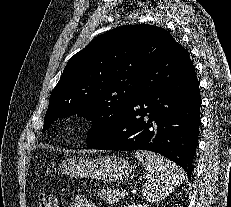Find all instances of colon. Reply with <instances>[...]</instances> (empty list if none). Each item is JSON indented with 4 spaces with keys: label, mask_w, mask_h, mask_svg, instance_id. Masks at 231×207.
Returning <instances> with one entry per match:
<instances>
[{
    "label": "colon",
    "mask_w": 231,
    "mask_h": 207,
    "mask_svg": "<svg viewBox=\"0 0 231 207\" xmlns=\"http://www.w3.org/2000/svg\"><path fill=\"white\" fill-rule=\"evenodd\" d=\"M39 207H57V200L53 194H43L39 198Z\"/></svg>",
    "instance_id": "colon-1"
}]
</instances>
